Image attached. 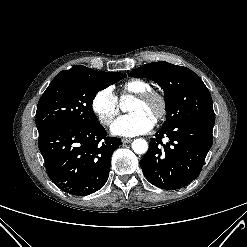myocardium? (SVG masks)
I'll return each mask as SVG.
<instances>
[{
	"mask_svg": "<svg viewBox=\"0 0 247 247\" xmlns=\"http://www.w3.org/2000/svg\"><path fill=\"white\" fill-rule=\"evenodd\" d=\"M135 98L142 103H148L151 101H156L158 103V110L155 115L156 121H160L166 116L168 110V102L163 93L150 89L137 94Z\"/></svg>",
	"mask_w": 247,
	"mask_h": 247,
	"instance_id": "obj_1",
	"label": "myocardium"
}]
</instances>
